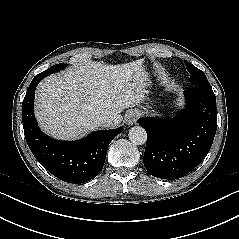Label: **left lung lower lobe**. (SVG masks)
Listing matches in <instances>:
<instances>
[{
	"instance_id": "obj_1",
	"label": "left lung lower lobe",
	"mask_w": 239,
	"mask_h": 239,
	"mask_svg": "<svg viewBox=\"0 0 239 239\" xmlns=\"http://www.w3.org/2000/svg\"><path fill=\"white\" fill-rule=\"evenodd\" d=\"M184 94L187 106L176 118L138 121L147 132L144 166L154 177L171 180L185 176L212 146L217 129L212 88L193 87Z\"/></svg>"
}]
</instances>
